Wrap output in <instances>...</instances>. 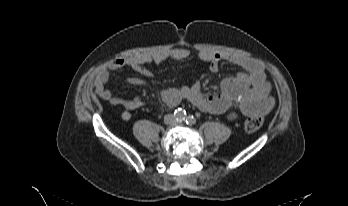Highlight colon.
Returning <instances> with one entry per match:
<instances>
[{"mask_svg":"<svg viewBox=\"0 0 348 206\" xmlns=\"http://www.w3.org/2000/svg\"><path fill=\"white\" fill-rule=\"evenodd\" d=\"M263 123H264V118L262 115L253 114L246 118L244 122V126L247 131L253 132L260 129Z\"/></svg>","mask_w":348,"mask_h":206,"instance_id":"5ec220e1","label":"colon"}]
</instances>
